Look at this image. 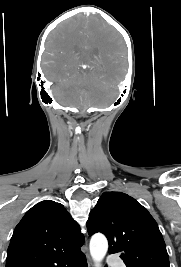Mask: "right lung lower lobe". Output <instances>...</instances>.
Here are the masks:
<instances>
[{
	"instance_id": "98d812e1",
	"label": "right lung lower lobe",
	"mask_w": 181,
	"mask_h": 267,
	"mask_svg": "<svg viewBox=\"0 0 181 267\" xmlns=\"http://www.w3.org/2000/svg\"><path fill=\"white\" fill-rule=\"evenodd\" d=\"M58 267H87L85 255L80 252L75 256L65 260Z\"/></svg>"
}]
</instances>
